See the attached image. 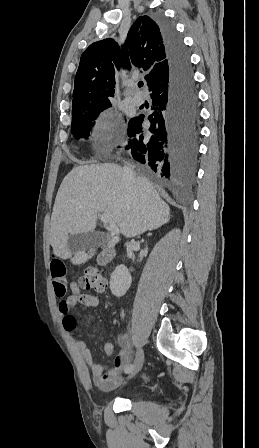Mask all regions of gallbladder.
Returning <instances> with one entry per match:
<instances>
[{
    "mask_svg": "<svg viewBox=\"0 0 259 448\" xmlns=\"http://www.w3.org/2000/svg\"><path fill=\"white\" fill-rule=\"evenodd\" d=\"M110 234L106 232H89V234H69L67 246L72 254L85 252L89 248H100L110 242Z\"/></svg>",
    "mask_w": 259,
    "mask_h": 448,
    "instance_id": "obj_1",
    "label": "gallbladder"
}]
</instances>
